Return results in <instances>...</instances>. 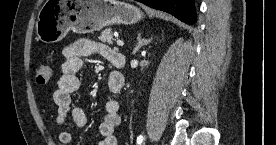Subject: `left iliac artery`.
I'll return each instance as SVG.
<instances>
[{"mask_svg":"<svg viewBox=\"0 0 276 145\" xmlns=\"http://www.w3.org/2000/svg\"><path fill=\"white\" fill-rule=\"evenodd\" d=\"M143 140H144L143 135H139L138 138H137V144L138 145L142 144Z\"/></svg>","mask_w":276,"mask_h":145,"instance_id":"obj_1","label":"left iliac artery"}]
</instances>
